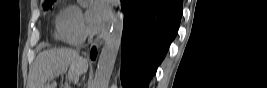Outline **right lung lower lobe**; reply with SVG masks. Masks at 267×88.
Returning a JSON list of instances; mask_svg holds the SVG:
<instances>
[{
	"instance_id": "1",
	"label": "right lung lower lobe",
	"mask_w": 267,
	"mask_h": 88,
	"mask_svg": "<svg viewBox=\"0 0 267 88\" xmlns=\"http://www.w3.org/2000/svg\"><path fill=\"white\" fill-rule=\"evenodd\" d=\"M96 54H97L96 49L93 48L92 51H91V59L92 60H94L96 58Z\"/></svg>"
}]
</instances>
